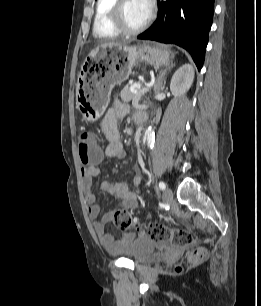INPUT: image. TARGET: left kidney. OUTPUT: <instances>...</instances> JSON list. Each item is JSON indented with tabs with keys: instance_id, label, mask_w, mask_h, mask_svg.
Masks as SVG:
<instances>
[{
	"instance_id": "5707ae66",
	"label": "left kidney",
	"mask_w": 261,
	"mask_h": 306,
	"mask_svg": "<svg viewBox=\"0 0 261 306\" xmlns=\"http://www.w3.org/2000/svg\"><path fill=\"white\" fill-rule=\"evenodd\" d=\"M194 80V68L191 64L182 65L173 74L170 90L175 97L185 94L191 87Z\"/></svg>"
}]
</instances>
